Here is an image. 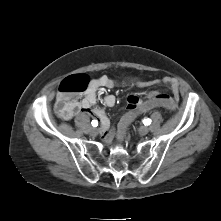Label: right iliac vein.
Returning a JSON list of instances; mask_svg holds the SVG:
<instances>
[{"label":"right iliac vein","instance_id":"1","mask_svg":"<svg viewBox=\"0 0 221 221\" xmlns=\"http://www.w3.org/2000/svg\"><path fill=\"white\" fill-rule=\"evenodd\" d=\"M99 130L97 128H91L90 129V134L93 136H96L98 134Z\"/></svg>","mask_w":221,"mask_h":221}]
</instances>
